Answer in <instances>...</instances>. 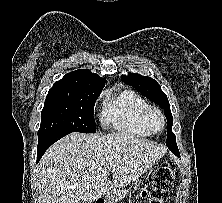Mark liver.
Listing matches in <instances>:
<instances>
[{
  "mask_svg": "<svg viewBox=\"0 0 222 203\" xmlns=\"http://www.w3.org/2000/svg\"><path fill=\"white\" fill-rule=\"evenodd\" d=\"M165 151L153 141L123 132L71 133L53 144L39 162L42 203L122 198L116 188L138 180Z\"/></svg>",
  "mask_w": 222,
  "mask_h": 203,
  "instance_id": "obj_1",
  "label": "liver"
}]
</instances>
